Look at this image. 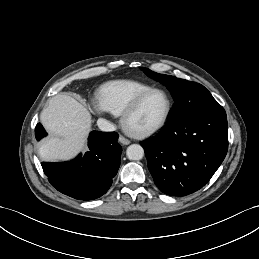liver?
Masks as SVG:
<instances>
[{
  "label": "liver",
  "instance_id": "6515ba94",
  "mask_svg": "<svg viewBox=\"0 0 259 259\" xmlns=\"http://www.w3.org/2000/svg\"><path fill=\"white\" fill-rule=\"evenodd\" d=\"M50 136L39 146L40 157L46 161H67L87 150L86 142L92 125L87 107L71 96L58 94L40 115Z\"/></svg>",
  "mask_w": 259,
  "mask_h": 259
}]
</instances>
